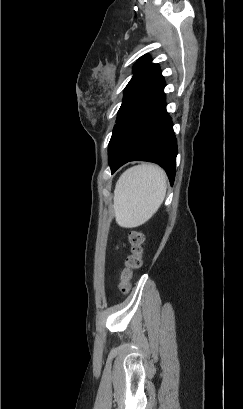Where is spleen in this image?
<instances>
[{"label": "spleen", "instance_id": "obj_1", "mask_svg": "<svg viewBox=\"0 0 243 409\" xmlns=\"http://www.w3.org/2000/svg\"><path fill=\"white\" fill-rule=\"evenodd\" d=\"M166 189L167 176L159 166L141 164L127 169L114 190L116 222L127 228L144 224L162 204Z\"/></svg>", "mask_w": 243, "mask_h": 409}]
</instances>
